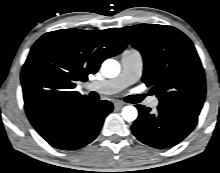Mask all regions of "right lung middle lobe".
I'll use <instances>...</instances> for the list:
<instances>
[{
	"instance_id": "right-lung-middle-lobe-1",
	"label": "right lung middle lobe",
	"mask_w": 220,
	"mask_h": 173,
	"mask_svg": "<svg viewBox=\"0 0 220 173\" xmlns=\"http://www.w3.org/2000/svg\"><path fill=\"white\" fill-rule=\"evenodd\" d=\"M25 109H26L27 115L29 116L32 112L36 111L38 107L35 102H31L27 106H25Z\"/></svg>"
}]
</instances>
